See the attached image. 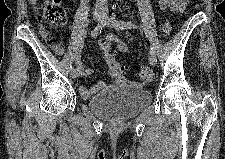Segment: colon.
Returning a JSON list of instances; mask_svg holds the SVG:
<instances>
[{
  "instance_id": "1",
  "label": "colon",
  "mask_w": 225,
  "mask_h": 159,
  "mask_svg": "<svg viewBox=\"0 0 225 159\" xmlns=\"http://www.w3.org/2000/svg\"><path fill=\"white\" fill-rule=\"evenodd\" d=\"M66 10L61 0H48L43 10L42 21L50 28H59L65 24ZM162 31L165 35H169L172 31L171 24L164 22ZM103 58L107 62L112 74H123L124 67L117 63L113 57V53L109 47L102 49ZM139 77L144 81H149L152 78L151 71L148 67H143L139 72Z\"/></svg>"
}]
</instances>
